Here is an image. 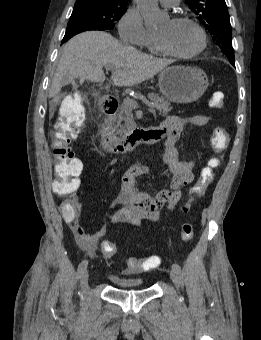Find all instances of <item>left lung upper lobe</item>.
<instances>
[{
    "mask_svg": "<svg viewBox=\"0 0 261 340\" xmlns=\"http://www.w3.org/2000/svg\"><path fill=\"white\" fill-rule=\"evenodd\" d=\"M229 61H234L231 25L225 0H186Z\"/></svg>",
    "mask_w": 261,
    "mask_h": 340,
    "instance_id": "5c2ea615",
    "label": "left lung upper lobe"
}]
</instances>
